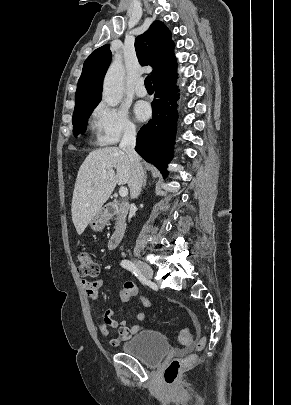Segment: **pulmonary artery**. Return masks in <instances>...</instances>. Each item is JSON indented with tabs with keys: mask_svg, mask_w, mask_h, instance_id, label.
Here are the masks:
<instances>
[{
	"mask_svg": "<svg viewBox=\"0 0 291 405\" xmlns=\"http://www.w3.org/2000/svg\"><path fill=\"white\" fill-rule=\"evenodd\" d=\"M135 93L138 97H144L147 94L146 88L144 86V81L139 80L136 87H135Z\"/></svg>",
	"mask_w": 291,
	"mask_h": 405,
	"instance_id": "1",
	"label": "pulmonary artery"
}]
</instances>
